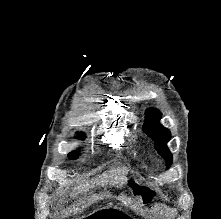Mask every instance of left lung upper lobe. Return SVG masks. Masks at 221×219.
<instances>
[{"label":"left lung upper lobe","mask_w":221,"mask_h":219,"mask_svg":"<svg viewBox=\"0 0 221 219\" xmlns=\"http://www.w3.org/2000/svg\"><path fill=\"white\" fill-rule=\"evenodd\" d=\"M160 119L161 115L158 110H147L143 130L155 141L157 152L167 161L166 165L169 168L172 163V154L166 144L170 140L171 134L168 129L159 123Z\"/></svg>","instance_id":"left-lung-upper-lobe-1"}]
</instances>
